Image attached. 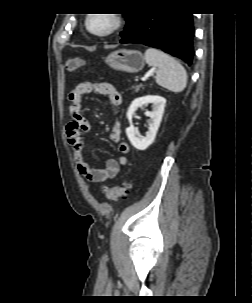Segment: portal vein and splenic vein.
<instances>
[{
	"instance_id": "portal-vein-and-splenic-vein-1",
	"label": "portal vein and splenic vein",
	"mask_w": 252,
	"mask_h": 303,
	"mask_svg": "<svg viewBox=\"0 0 252 303\" xmlns=\"http://www.w3.org/2000/svg\"><path fill=\"white\" fill-rule=\"evenodd\" d=\"M153 74V71H150L147 73L144 77L141 78L142 81H146L148 77H150Z\"/></svg>"
}]
</instances>
